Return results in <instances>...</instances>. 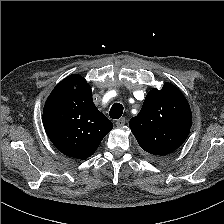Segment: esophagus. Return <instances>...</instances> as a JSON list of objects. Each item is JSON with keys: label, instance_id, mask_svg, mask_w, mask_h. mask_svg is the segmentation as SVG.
<instances>
[{"label": "esophagus", "instance_id": "1", "mask_svg": "<svg viewBox=\"0 0 224 224\" xmlns=\"http://www.w3.org/2000/svg\"><path fill=\"white\" fill-rule=\"evenodd\" d=\"M126 123V119L124 117L117 120L116 125L117 127H123Z\"/></svg>", "mask_w": 224, "mask_h": 224}]
</instances>
